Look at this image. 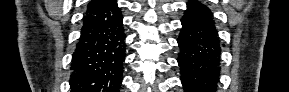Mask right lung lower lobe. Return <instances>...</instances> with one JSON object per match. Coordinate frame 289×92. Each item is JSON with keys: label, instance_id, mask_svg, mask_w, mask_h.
Listing matches in <instances>:
<instances>
[{"label": "right lung lower lobe", "instance_id": "1", "mask_svg": "<svg viewBox=\"0 0 289 92\" xmlns=\"http://www.w3.org/2000/svg\"><path fill=\"white\" fill-rule=\"evenodd\" d=\"M87 10L72 59V92H119L125 59L121 11L116 0Z\"/></svg>", "mask_w": 289, "mask_h": 92}]
</instances>
